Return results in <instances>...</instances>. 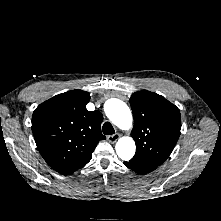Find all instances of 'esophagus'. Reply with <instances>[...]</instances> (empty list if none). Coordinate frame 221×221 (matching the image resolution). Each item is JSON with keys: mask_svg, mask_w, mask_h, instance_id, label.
I'll return each instance as SVG.
<instances>
[{"mask_svg": "<svg viewBox=\"0 0 221 221\" xmlns=\"http://www.w3.org/2000/svg\"><path fill=\"white\" fill-rule=\"evenodd\" d=\"M120 138V134L116 133L107 137L110 143H115Z\"/></svg>", "mask_w": 221, "mask_h": 221, "instance_id": "obj_1", "label": "esophagus"}]
</instances>
